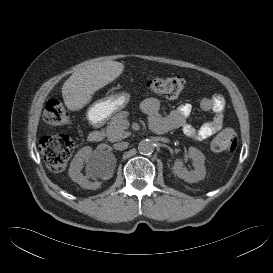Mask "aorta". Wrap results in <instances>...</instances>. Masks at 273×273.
<instances>
[{
	"instance_id": "1",
	"label": "aorta",
	"mask_w": 273,
	"mask_h": 273,
	"mask_svg": "<svg viewBox=\"0 0 273 273\" xmlns=\"http://www.w3.org/2000/svg\"><path fill=\"white\" fill-rule=\"evenodd\" d=\"M155 149V144L150 139H143L138 144V151L143 155L151 154Z\"/></svg>"
}]
</instances>
